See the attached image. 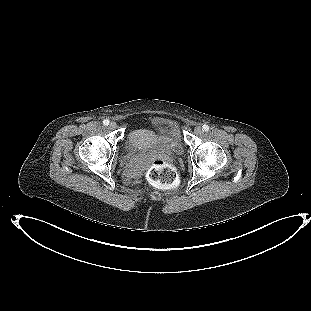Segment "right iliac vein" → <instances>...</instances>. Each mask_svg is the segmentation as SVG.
<instances>
[{
  "label": "right iliac vein",
  "mask_w": 311,
  "mask_h": 311,
  "mask_svg": "<svg viewBox=\"0 0 311 311\" xmlns=\"http://www.w3.org/2000/svg\"><path fill=\"white\" fill-rule=\"evenodd\" d=\"M116 126H117V124L115 122H113V121L109 124V128L110 129H115Z\"/></svg>",
  "instance_id": "1"
}]
</instances>
